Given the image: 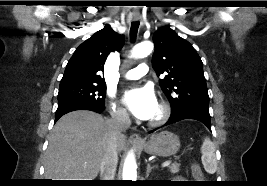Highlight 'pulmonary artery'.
Listing matches in <instances>:
<instances>
[{
	"mask_svg": "<svg viewBox=\"0 0 267 186\" xmlns=\"http://www.w3.org/2000/svg\"><path fill=\"white\" fill-rule=\"evenodd\" d=\"M148 71H149L148 65L145 63H142V64H139L136 68L127 71L125 73V78L129 80H136L146 75Z\"/></svg>",
	"mask_w": 267,
	"mask_h": 186,
	"instance_id": "obj_1",
	"label": "pulmonary artery"
}]
</instances>
